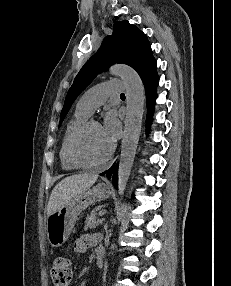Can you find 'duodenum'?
I'll use <instances>...</instances> for the list:
<instances>
[{
    "label": "duodenum",
    "instance_id": "1",
    "mask_svg": "<svg viewBox=\"0 0 231 286\" xmlns=\"http://www.w3.org/2000/svg\"><path fill=\"white\" fill-rule=\"evenodd\" d=\"M96 260H97L98 267L102 268L104 266V260H105V255H104V251L102 248H97Z\"/></svg>",
    "mask_w": 231,
    "mask_h": 286
}]
</instances>
